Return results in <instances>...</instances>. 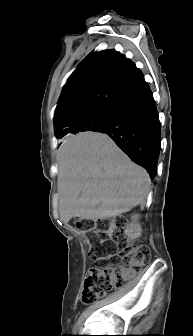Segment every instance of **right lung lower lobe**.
Returning <instances> with one entry per match:
<instances>
[{
  "instance_id": "obj_1",
  "label": "right lung lower lobe",
  "mask_w": 193,
  "mask_h": 336,
  "mask_svg": "<svg viewBox=\"0 0 193 336\" xmlns=\"http://www.w3.org/2000/svg\"><path fill=\"white\" fill-rule=\"evenodd\" d=\"M108 134L151 179L156 176L160 152V122L152 93L139 71L113 103L104 126Z\"/></svg>"
}]
</instances>
